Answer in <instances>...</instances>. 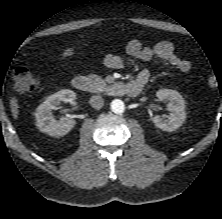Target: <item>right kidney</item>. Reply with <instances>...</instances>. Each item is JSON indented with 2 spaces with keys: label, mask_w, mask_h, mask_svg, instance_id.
Segmentation results:
<instances>
[{
  "label": "right kidney",
  "mask_w": 222,
  "mask_h": 219,
  "mask_svg": "<svg viewBox=\"0 0 222 219\" xmlns=\"http://www.w3.org/2000/svg\"><path fill=\"white\" fill-rule=\"evenodd\" d=\"M75 99L76 93L68 89L60 90L48 96L36 109L37 128L50 136L66 135L75 126L76 121L68 117L56 120L52 115V110H57L61 102L73 103Z\"/></svg>",
  "instance_id": "obj_1"
}]
</instances>
